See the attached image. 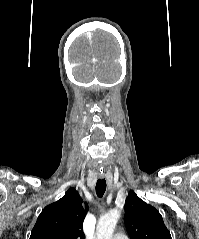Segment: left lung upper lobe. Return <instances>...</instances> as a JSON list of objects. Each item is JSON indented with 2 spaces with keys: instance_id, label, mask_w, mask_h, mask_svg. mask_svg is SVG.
<instances>
[{
  "instance_id": "5c2ea615",
  "label": "left lung upper lobe",
  "mask_w": 199,
  "mask_h": 239,
  "mask_svg": "<svg viewBox=\"0 0 199 239\" xmlns=\"http://www.w3.org/2000/svg\"><path fill=\"white\" fill-rule=\"evenodd\" d=\"M124 222L131 239H171L161 214L130 191L125 201Z\"/></svg>"
}]
</instances>
